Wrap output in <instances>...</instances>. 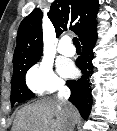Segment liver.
<instances>
[{
    "label": "liver",
    "instance_id": "1",
    "mask_svg": "<svg viewBox=\"0 0 117 131\" xmlns=\"http://www.w3.org/2000/svg\"><path fill=\"white\" fill-rule=\"evenodd\" d=\"M71 118L58 99H45L21 108L12 131H67L68 123L80 119L78 110L71 105Z\"/></svg>",
    "mask_w": 117,
    "mask_h": 131
}]
</instances>
